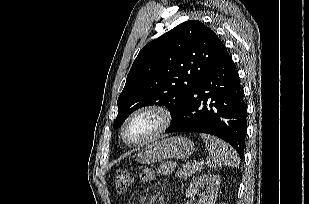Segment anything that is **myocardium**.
<instances>
[{"mask_svg":"<svg viewBox=\"0 0 309 204\" xmlns=\"http://www.w3.org/2000/svg\"><path fill=\"white\" fill-rule=\"evenodd\" d=\"M144 113H154L159 117V125L158 127L147 137H145L142 140L139 141H130L126 136V128L128 123L135 118L138 115L144 114ZM172 122V113L171 111L164 105L160 104H148L141 106L134 111H132L125 121L122 124L121 127V136L123 141L129 145V146H141L144 145L154 138L158 137L159 135L163 134L171 125Z\"/></svg>","mask_w":309,"mask_h":204,"instance_id":"obj_1","label":"myocardium"}]
</instances>
